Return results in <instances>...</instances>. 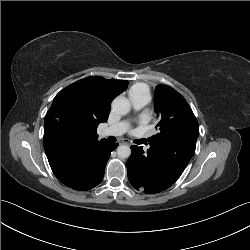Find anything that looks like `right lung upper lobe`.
Listing matches in <instances>:
<instances>
[{
	"label": "right lung upper lobe",
	"mask_w": 250,
	"mask_h": 250,
	"mask_svg": "<svg viewBox=\"0 0 250 250\" xmlns=\"http://www.w3.org/2000/svg\"><path fill=\"white\" fill-rule=\"evenodd\" d=\"M128 82L91 76L62 91L53 100L44 120V149L50 167L59 180L72 179L78 157L98 141L97 127L106 122L112 100L122 93ZM77 103L79 123L65 122L63 106L68 96Z\"/></svg>",
	"instance_id": "obj_1"
}]
</instances>
